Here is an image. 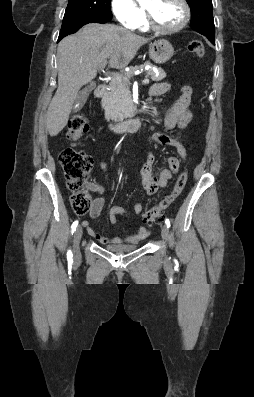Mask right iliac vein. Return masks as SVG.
Returning a JSON list of instances; mask_svg holds the SVG:
<instances>
[{"instance_id":"63e3f726","label":"right iliac vein","mask_w":254,"mask_h":397,"mask_svg":"<svg viewBox=\"0 0 254 397\" xmlns=\"http://www.w3.org/2000/svg\"><path fill=\"white\" fill-rule=\"evenodd\" d=\"M83 230L82 227L79 226L77 227L74 237H73V253H74V258L78 259L80 257V241L82 238Z\"/></svg>"}]
</instances>
